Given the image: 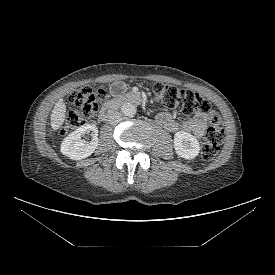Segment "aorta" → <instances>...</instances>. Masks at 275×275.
I'll list each match as a JSON object with an SVG mask.
<instances>
[{
	"mask_svg": "<svg viewBox=\"0 0 275 275\" xmlns=\"http://www.w3.org/2000/svg\"><path fill=\"white\" fill-rule=\"evenodd\" d=\"M136 107L131 104V103H124L121 106V112L124 116L126 117H134V115L136 114Z\"/></svg>",
	"mask_w": 275,
	"mask_h": 275,
	"instance_id": "obj_1",
	"label": "aorta"
}]
</instances>
